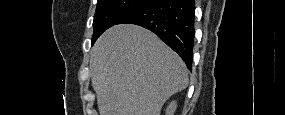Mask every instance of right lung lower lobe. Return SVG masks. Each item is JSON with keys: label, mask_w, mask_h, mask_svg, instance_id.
I'll list each match as a JSON object with an SVG mask.
<instances>
[{"label": "right lung lower lobe", "mask_w": 285, "mask_h": 115, "mask_svg": "<svg viewBox=\"0 0 285 115\" xmlns=\"http://www.w3.org/2000/svg\"><path fill=\"white\" fill-rule=\"evenodd\" d=\"M194 10V0H150L116 24H136L152 31L177 52L191 70L195 36Z\"/></svg>", "instance_id": "98d812e1"}]
</instances>
